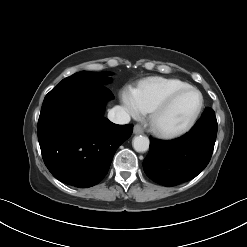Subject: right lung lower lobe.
Instances as JSON below:
<instances>
[{"mask_svg": "<svg viewBox=\"0 0 247 247\" xmlns=\"http://www.w3.org/2000/svg\"><path fill=\"white\" fill-rule=\"evenodd\" d=\"M113 94L100 84L55 87L45 97L38 121V140L45 165L61 182L79 188L99 183L117 148L133 125L103 117Z\"/></svg>", "mask_w": 247, "mask_h": 247, "instance_id": "1", "label": "right lung lower lobe"}]
</instances>
